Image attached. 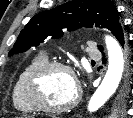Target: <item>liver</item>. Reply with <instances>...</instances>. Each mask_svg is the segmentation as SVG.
Returning <instances> with one entry per match:
<instances>
[{"label": "liver", "instance_id": "obj_1", "mask_svg": "<svg viewBox=\"0 0 133 118\" xmlns=\"http://www.w3.org/2000/svg\"><path fill=\"white\" fill-rule=\"evenodd\" d=\"M24 118H31L30 116H25Z\"/></svg>", "mask_w": 133, "mask_h": 118}]
</instances>
